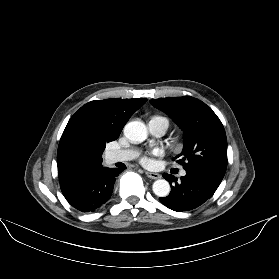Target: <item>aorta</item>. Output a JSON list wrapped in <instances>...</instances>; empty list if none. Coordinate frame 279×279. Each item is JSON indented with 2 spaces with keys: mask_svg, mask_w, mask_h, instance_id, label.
I'll return each mask as SVG.
<instances>
[{
  "mask_svg": "<svg viewBox=\"0 0 279 279\" xmlns=\"http://www.w3.org/2000/svg\"><path fill=\"white\" fill-rule=\"evenodd\" d=\"M124 135L133 143H141L147 138V128L143 122L131 121L124 127ZM158 197H166L170 193V184L165 179L156 180L152 186Z\"/></svg>",
  "mask_w": 279,
  "mask_h": 279,
  "instance_id": "762f6f07",
  "label": "aorta"
}]
</instances>
